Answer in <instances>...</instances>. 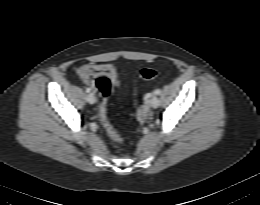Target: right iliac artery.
<instances>
[{"label": "right iliac artery", "instance_id": "82829eb1", "mask_svg": "<svg viewBox=\"0 0 260 205\" xmlns=\"http://www.w3.org/2000/svg\"><path fill=\"white\" fill-rule=\"evenodd\" d=\"M91 90L89 88H86V92L89 93Z\"/></svg>", "mask_w": 260, "mask_h": 205}]
</instances>
